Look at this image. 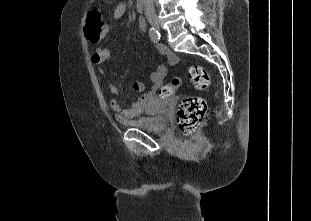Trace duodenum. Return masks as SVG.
Returning a JSON list of instances; mask_svg holds the SVG:
<instances>
[{
	"mask_svg": "<svg viewBox=\"0 0 311 221\" xmlns=\"http://www.w3.org/2000/svg\"><path fill=\"white\" fill-rule=\"evenodd\" d=\"M135 5H136V9L139 11H143L144 10V6H145V0H135ZM138 26L140 28H144L145 27V22L143 20L138 22Z\"/></svg>",
	"mask_w": 311,
	"mask_h": 221,
	"instance_id": "obj_1",
	"label": "duodenum"
}]
</instances>
